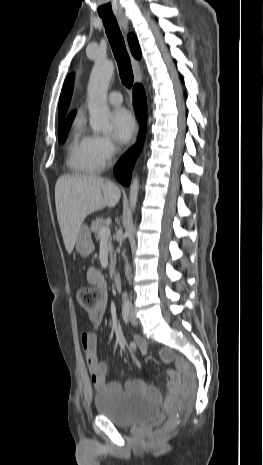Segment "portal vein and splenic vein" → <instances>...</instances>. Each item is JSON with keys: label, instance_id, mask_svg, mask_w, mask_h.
<instances>
[{"label": "portal vein and splenic vein", "instance_id": "obj_1", "mask_svg": "<svg viewBox=\"0 0 263 465\" xmlns=\"http://www.w3.org/2000/svg\"><path fill=\"white\" fill-rule=\"evenodd\" d=\"M110 236V229L108 227H103L100 230V237L101 239H107Z\"/></svg>", "mask_w": 263, "mask_h": 465}]
</instances>
